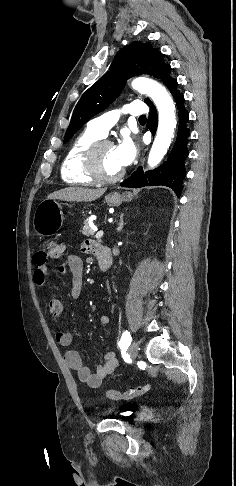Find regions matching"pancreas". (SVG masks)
I'll return each mask as SVG.
<instances>
[{
    "label": "pancreas",
    "mask_w": 236,
    "mask_h": 486,
    "mask_svg": "<svg viewBox=\"0 0 236 486\" xmlns=\"http://www.w3.org/2000/svg\"><path fill=\"white\" fill-rule=\"evenodd\" d=\"M81 232H82L83 235H85L87 237L94 235V231L92 230V228L89 225V219H86L84 221V226L82 227Z\"/></svg>",
    "instance_id": "obj_1"
}]
</instances>
